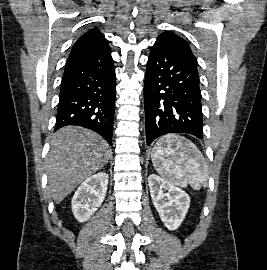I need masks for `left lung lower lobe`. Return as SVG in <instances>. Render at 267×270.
Instances as JSON below:
<instances>
[{"instance_id":"obj_1","label":"left lung lower lobe","mask_w":267,"mask_h":270,"mask_svg":"<svg viewBox=\"0 0 267 270\" xmlns=\"http://www.w3.org/2000/svg\"><path fill=\"white\" fill-rule=\"evenodd\" d=\"M144 105L147 145L168 133L203 138L197 65L159 42L152 46L147 62Z\"/></svg>"}]
</instances>
